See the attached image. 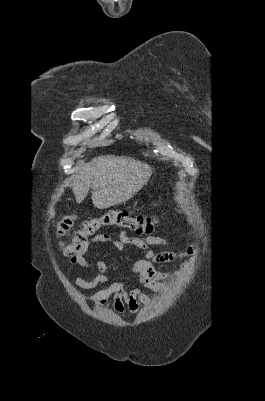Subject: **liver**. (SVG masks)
<instances>
[{
    "label": "liver",
    "mask_w": 265,
    "mask_h": 401,
    "mask_svg": "<svg viewBox=\"0 0 265 401\" xmlns=\"http://www.w3.org/2000/svg\"><path fill=\"white\" fill-rule=\"evenodd\" d=\"M72 184L75 201L80 205L92 188V201L97 209L122 205L139 192L152 174L150 164L131 156L101 154L80 164Z\"/></svg>",
    "instance_id": "obj_1"
}]
</instances>
